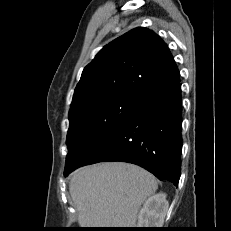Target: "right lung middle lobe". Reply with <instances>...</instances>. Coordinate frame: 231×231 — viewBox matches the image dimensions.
<instances>
[{
    "label": "right lung middle lobe",
    "mask_w": 231,
    "mask_h": 231,
    "mask_svg": "<svg viewBox=\"0 0 231 231\" xmlns=\"http://www.w3.org/2000/svg\"><path fill=\"white\" fill-rule=\"evenodd\" d=\"M140 99L135 95L117 94L69 112L65 170L75 167L132 116L137 111Z\"/></svg>",
    "instance_id": "obj_1"
}]
</instances>
